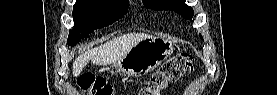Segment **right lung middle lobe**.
I'll return each mask as SVG.
<instances>
[{
    "label": "right lung middle lobe",
    "mask_w": 277,
    "mask_h": 95,
    "mask_svg": "<svg viewBox=\"0 0 277 95\" xmlns=\"http://www.w3.org/2000/svg\"><path fill=\"white\" fill-rule=\"evenodd\" d=\"M128 8V1L77 0L73 7L74 28L69 31L68 45L74 46L94 30L119 20Z\"/></svg>",
    "instance_id": "right-lung-middle-lobe-1"
}]
</instances>
